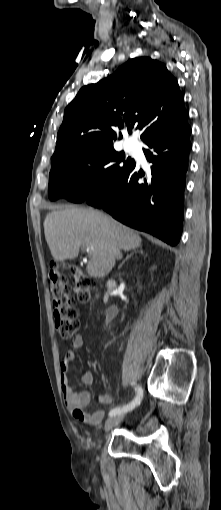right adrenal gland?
<instances>
[{"instance_id":"obj_1","label":"right adrenal gland","mask_w":221,"mask_h":510,"mask_svg":"<svg viewBox=\"0 0 221 510\" xmlns=\"http://www.w3.org/2000/svg\"><path fill=\"white\" fill-rule=\"evenodd\" d=\"M139 253L143 254V251L142 250H139L138 251ZM134 253L136 252H132L130 253L129 255L126 256V258L122 261V263L120 264V267L125 263V261H127Z\"/></svg>"}]
</instances>
